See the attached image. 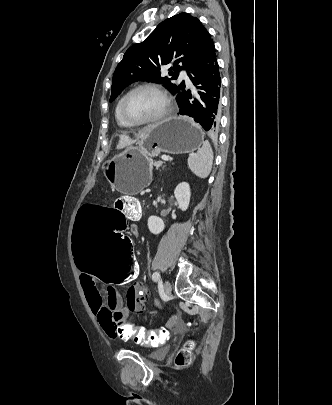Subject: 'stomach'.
I'll return each instance as SVG.
<instances>
[{
    "mask_svg": "<svg viewBox=\"0 0 332 405\" xmlns=\"http://www.w3.org/2000/svg\"><path fill=\"white\" fill-rule=\"evenodd\" d=\"M204 134L188 117H170L155 124L151 132L102 165L104 176L122 194H138L151 181V160L160 153L183 154L199 149Z\"/></svg>",
    "mask_w": 332,
    "mask_h": 405,
    "instance_id": "1",
    "label": "stomach"
}]
</instances>
